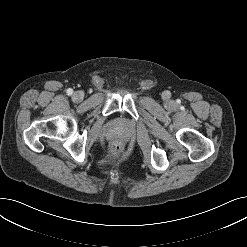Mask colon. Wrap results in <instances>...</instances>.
<instances>
[{
  "instance_id": "obj_1",
  "label": "colon",
  "mask_w": 247,
  "mask_h": 247,
  "mask_svg": "<svg viewBox=\"0 0 247 247\" xmlns=\"http://www.w3.org/2000/svg\"><path fill=\"white\" fill-rule=\"evenodd\" d=\"M121 147L118 144H113L110 148V153L113 156H117L120 153Z\"/></svg>"
}]
</instances>
